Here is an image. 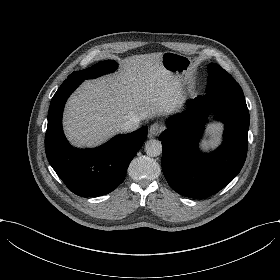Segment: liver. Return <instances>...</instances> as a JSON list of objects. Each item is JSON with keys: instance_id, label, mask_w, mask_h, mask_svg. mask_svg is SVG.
I'll list each match as a JSON object with an SVG mask.
<instances>
[{"instance_id": "liver-1", "label": "liver", "mask_w": 280, "mask_h": 280, "mask_svg": "<svg viewBox=\"0 0 280 280\" xmlns=\"http://www.w3.org/2000/svg\"><path fill=\"white\" fill-rule=\"evenodd\" d=\"M161 54L127 56L115 72L84 80L75 89L62 117L71 147L94 149L121 133L128 121L179 112L184 92L163 68Z\"/></svg>"}]
</instances>
